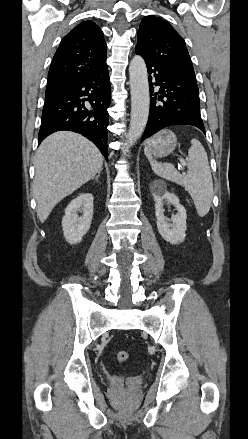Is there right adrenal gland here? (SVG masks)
<instances>
[{"label": "right adrenal gland", "mask_w": 248, "mask_h": 439, "mask_svg": "<svg viewBox=\"0 0 248 439\" xmlns=\"http://www.w3.org/2000/svg\"><path fill=\"white\" fill-rule=\"evenodd\" d=\"M101 171L98 172L97 176L94 177L93 179H95L96 181H98V178L100 177Z\"/></svg>", "instance_id": "right-adrenal-gland-1"}]
</instances>
